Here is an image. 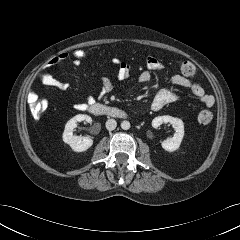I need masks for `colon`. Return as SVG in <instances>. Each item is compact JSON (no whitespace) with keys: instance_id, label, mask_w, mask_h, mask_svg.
Returning a JSON list of instances; mask_svg holds the SVG:
<instances>
[{"instance_id":"1","label":"colon","mask_w":240,"mask_h":240,"mask_svg":"<svg viewBox=\"0 0 240 240\" xmlns=\"http://www.w3.org/2000/svg\"><path fill=\"white\" fill-rule=\"evenodd\" d=\"M66 54L67 60H69L75 67L80 66L83 61L88 57V53L85 49L83 48H76L73 50L68 51ZM179 69L180 71L188 76V77H193L196 74V68L195 66L189 62V61H182L179 64ZM29 108L32 116L35 119H40L46 108H47V103L45 100H35L29 102ZM198 122L201 125H208L211 123L213 119L212 112L208 109H202L198 113Z\"/></svg>"}]
</instances>
